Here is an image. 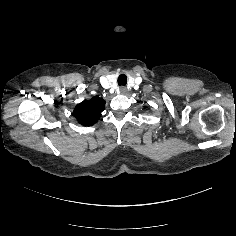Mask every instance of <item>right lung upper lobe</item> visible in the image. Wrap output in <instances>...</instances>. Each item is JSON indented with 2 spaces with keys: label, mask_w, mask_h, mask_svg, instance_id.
Returning a JSON list of instances; mask_svg holds the SVG:
<instances>
[{
  "label": "right lung upper lobe",
  "mask_w": 236,
  "mask_h": 236,
  "mask_svg": "<svg viewBox=\"0 0 236 236\" xmlns=\"http://www.w3.org/2000/svg\"><path fill=\"white\" fill-rule=\"evenodd\" d=\"M105 101L95 96L90 100H84L78 104L73 112V116L77 119L78 123L83 126H91L95 124L104 110Z\"/></svg>",
  "instance_id": "obj_1"
}]
</instances>
